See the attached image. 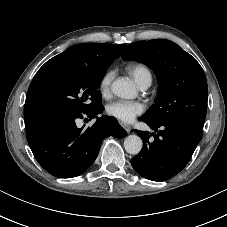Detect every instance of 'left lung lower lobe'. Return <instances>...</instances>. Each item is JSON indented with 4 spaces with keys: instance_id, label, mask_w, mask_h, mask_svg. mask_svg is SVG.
Segmentation results:
<instances>
[{
    "instance_id": "obj_1",
    "label": "left lung lower lobe",
    "mask_w": 227,
    "mask_h": 227,
    "mask_svg": "<svg viewBox=\"0 0 227 227\" xmlns=\"http://www.w3.org/2000/svg\"><path fill=\"white\" fill-rule=\"evenodd\" d=\"M139 120L154 132L135 130L143 140V149L131 160L133 168L152 181L170 179L189 162L202 138V130L182 122L153 124L142 118Z\"/></svg>"
}]
</instances>
